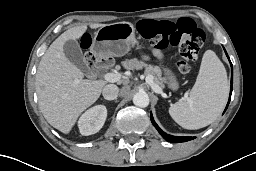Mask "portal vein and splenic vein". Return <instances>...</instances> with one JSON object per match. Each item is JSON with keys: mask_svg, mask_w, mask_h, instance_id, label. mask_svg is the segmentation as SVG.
Here are the masks:
<instances>
[{"mask_svg": "<svg viewBox=\"0 0 256 171\" xmlns=\"http://www.w3.org/2000/svg\"><path fill=\"white\" fill-rule=\"evenodd\" d=\"M104 79L107 82L114 83V82H117V81L120 80V74L119 73H106L104 75ZM146 82L151 85L152 89L155 92H157V93H161L162 92V89L153 82V78L151 76H147L146 77Z\"/></svg>", "mask_w": 256, "mask_h": 171, "instance_id": "obj_1", "label": "portal vein and splenic vein"}]
</instances>
